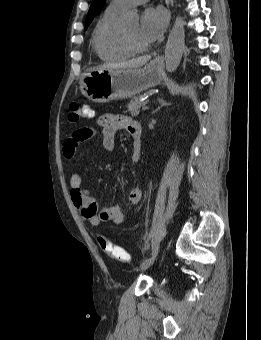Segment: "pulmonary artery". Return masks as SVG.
<instances>
[{"mask_svg":"<svg viewBox=\"0 0 261 340\" xmlns=\"http://www.w3.org/2000/svg\"><path fill=\"white\" fill-rule=\"evenodd\" d=\"M148 0H112L110 7L119 11H124L130 6L144 4Z\"/></svg>","mask_w":261,"mask_h":340,"instance_id":"pulmonary-artery-1","label":"pulmonary artery"}]
</instances>
